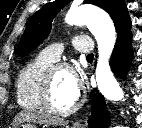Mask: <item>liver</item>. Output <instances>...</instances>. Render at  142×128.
<instances>
[{
	"instance_id": "1",
	"label": "liver",
	"mask_w": 142,
	"mask_h": 128,
	"mask_svg": "<svg viewBox=\"0 0 142 128\" xmlns=\"http://www.w3.org/2000/svg\"><path fill=\"white\" fill-rule=\"evenodd\" d=\"M23 122H34L39 124H45V125H65L66 123L56 117H52L50 115H47L43 112L39 111H21L19 112L13 121V126H17L20 123Z\"/></svg>"
}]
</instances>
